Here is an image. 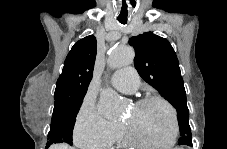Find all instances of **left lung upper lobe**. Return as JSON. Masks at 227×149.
<instances>
[{
	"instance_id": "5c2ea615",
	"label": "left lung upper lobe",
	"mask_w": 227,
	"mask_h": 149,
	"mask_svg": "<svg viewBox=\"0 0 227 149\" xmlns=\"http://www.w3.org/2000/svg\"><path fill=\"white\" fill-rule=\"evenodd\" d=\"M135 49V68L177 110L180 126L178 145H192L189 110L179 62L169 41L152 32L129 39Z\"/></svg>"
}]
</instances>
